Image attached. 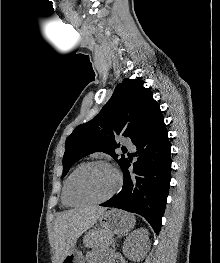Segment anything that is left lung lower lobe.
<instances>
[{"instance_id": "obj_1", "label": "left lung lower lobe", "mask_w": 220, "mask_h": 263, "mask_svg": "<svg viewBox=\"0 0 220 263\" xmlns=\"http://www.w3.org/2000/svg\"><path fill=\"white\" fill-rule=\"evenodd\" d=\"M137 161L130 173V161L122 166V190L100 204L143 216L158 234L161 229L171 179V147L164 118H160L143 136L135 140Z\"/></svg>"}]
</instances>
